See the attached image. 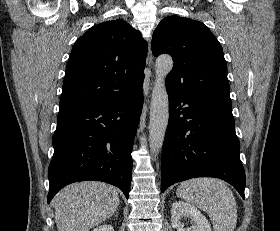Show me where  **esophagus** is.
I'll return each mask as SVG.
<instances>
[{
  "label": "esophagus",
  "mask_w": 280,
  "mask_h": 231,
  "mask_svg": "<svg viewBox=\"0 0 280 231\" xmlns=\"http://www.w3.org/2000/svg\"><path fill=\"white\" fill-rule=\"evenodd\" d=\"M148 65H149V67H152V65H153V57H152V52H151L150 46H149V52H148Z\"/></svg>",
  "instance_id": "34e87169"
}]
</instances>
